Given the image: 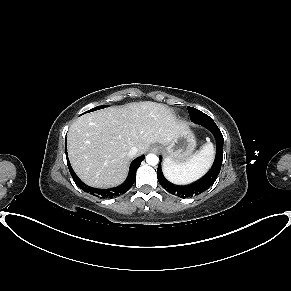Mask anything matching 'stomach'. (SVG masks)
Wrapping results in <instances>:
<instances>
[{"label":"stomach","instance_id":"1","mask_svg":"<svg viewBox=\"0 0 291 291\" xmlns=\"http://www.w3.org/2000/svg\"><path fill=\"white\" fill-rule=\"evenodd\" d=\"M196 146L192 132L187 128L178 134L168 145L163 146L162 151L166 159H171L176 163L186 162Z\"/></svg>","mask_w":291,"mask_h":291}]
</instances>
